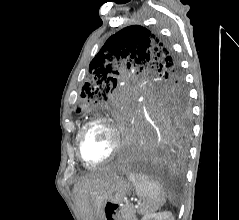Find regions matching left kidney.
<instances>
[{"mask_svg": "<svg viewBox=\"0 0 239 220\" xmlns=\"http://www.w3.org/2000/svg\"><path fill=\"white\" fill-rule=\"evenodd\" d=\"M141 220H175L171 212L148 213Z\"/></svg>", "mask_w": 239, "mask_h": 220, "instance_id": "left-kidney-1", "label": "left kidney"}]
</instances>
